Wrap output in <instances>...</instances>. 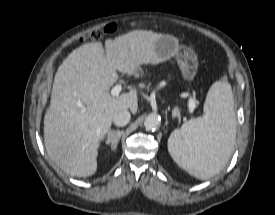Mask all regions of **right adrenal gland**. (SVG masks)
I'll list each match as a JSON object with an SVG mask.
<instances>
[{
  "mask_svg": "<svg viewBox=\"0 0 275 215\" xmlns=\"http://www.w3.org/2000/svg\"><path fill=\"white\" fill-rule=\"evenodd\" d=\"M124 133L123 130H119V131H110L109 133V136H108V139L106 141V144L107 145H110L111 144V148L112 150H115L117 145H118V142L121 138V135Z\"/></svg>",
  "mask_w": 275,
  "mask_h": 215,
  "instance_id": "obj_1",
  "label": "right adrenal gland"
}]
</instances>
